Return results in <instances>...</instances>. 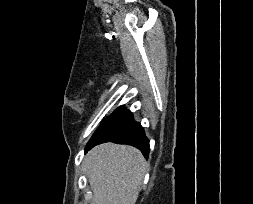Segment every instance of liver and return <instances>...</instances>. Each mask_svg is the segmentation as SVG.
<instances>
[{
	"mask_svg": "<svg viewBox=\"0 0 253 204\" xmlns=\"http://www.w3.org/2000/svg\"><path fill=\"white\" fill-rule=\"evenodd\" d=\"M142 153L128 145L104 143L84 159L93 192L91 204H135L146 173Z\"/></svg>",
	"mask_w": 253,
	"mask_h": 204,
	"instance_id": "obj_1",
	"label": "liver"
}]
</instances>
